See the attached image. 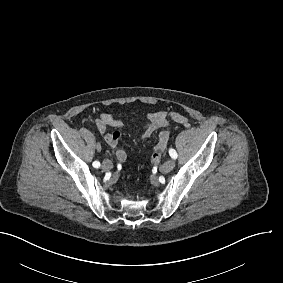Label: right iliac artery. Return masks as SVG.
<instances>
[{"label": "right iliac artery", "mask_w": 283, "mask_h": 283, "mask_svg": "<svg viewBox=\"0 0 283 283\" xmlns=\"http://www.w3.org/2000/svg\"><path fill=\"white\" fill-rule=\"evenodd\" d=\"M93 167H95V168L100 167V162H98V161L93 162Z\"/></svg>", "instance_id": "82829eb1"}]
</instances>
